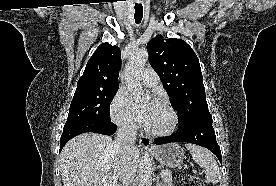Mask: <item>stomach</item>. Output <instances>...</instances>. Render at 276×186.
I'll return each mask as SVG.
<instances>
[{
	"label": "stomach",
	"mask_w": 276,
	"mask_h": 186,
	"mask_svg": "<svg viewBox=\"0 0 276 186\" xmlns=\"http://www.w3.org/2000/svg\"><path fill=\"white\" fill-rule=\"evenodd\" d=\"M157 161L169 168L179 167L183 163L184 151L176 143H169L153 151Z\"/></svg>",
	"instance_id": "0dacf381"
}]
</instances>
